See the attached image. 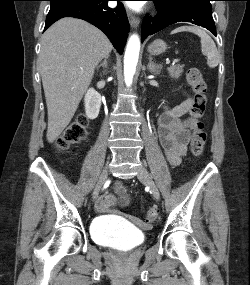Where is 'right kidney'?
Masks as SVG:
<instances>
[{
  "label": "right kidney",
  "instance_id": "ca27d5eb",
  "mask_svg": "<svg viewBox=\"0 0 250 285\" xmlns=\"http://www.w3.org/2000/svg\"><path fill=\"white\" fill-rule=\"evenodd\" d=\"M101 107V95L90 88L85 95V111L89 119L97 118Z\"/></svg>",
  "mask_w": 250,
  "mask_h": 285
}]
</instances>
